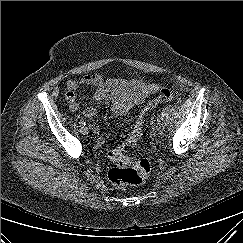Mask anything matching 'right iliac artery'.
<instances>
[{
    "label": "right iliac artery",
    "mask_w": 243,
    "mask_h": 243,
    "mask_svg": "<svg viewBox=\"0 0 243 243\" xmlns=\"http://www.w3.org/2000/svg\"><path fill=\"white\" fill-rule=\"evenodd\" d=\"M80 125H81V126H85L86 123L82 121V122H80Z\"/></svg>",
    "instance_id": "obj_1"
}]
</instances>
